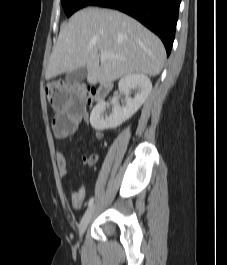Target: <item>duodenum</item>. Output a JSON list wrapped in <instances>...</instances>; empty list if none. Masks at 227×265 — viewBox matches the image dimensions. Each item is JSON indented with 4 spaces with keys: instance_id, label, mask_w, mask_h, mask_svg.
<instances>
[{
    "instance_id": "1",
    "label": "duodenum",
    "mask_w": 227,
    "mask_h": 265,
    "mask_svg": "<svg viewBox=\"0 0 227 265\" xmlns=\"http://www.w3.org/2000/svg\"><path fill=\"white\" fill-rule=\"evenodd\" d=\"M112 88V83L110 81H104L98 85L95 90V97L97 100L104 99Z\"/></svg>"
}]
</instances>
